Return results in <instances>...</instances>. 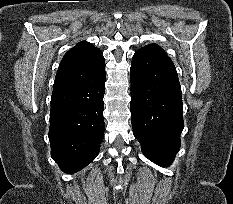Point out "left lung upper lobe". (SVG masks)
Segmentation results:
<instances>
[{
    "mask_svg": "<svg viewBox=\"0 0 233 204\" xmlns=\"http://www.w3.org/2000/svg\"><path fill=\"white\" fill-rule=\"evenodd\" d=\"M143 48L150 49V50H153V51H156V52H159V53L166 55L165 51L160 46H158L156 44H149Z\"/></svg>",
    "mask_w": 233,
    "mask_h": 204,
    "instance_id": "left-lung-upper-lobe-1",
    "label": "left lung upper lobe"
}]
</instances>
